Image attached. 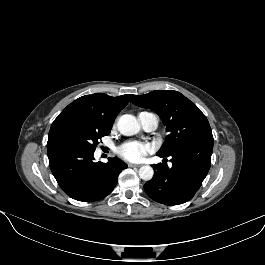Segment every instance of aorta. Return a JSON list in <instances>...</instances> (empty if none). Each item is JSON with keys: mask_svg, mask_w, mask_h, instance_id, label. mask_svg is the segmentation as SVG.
Listing matches in <instances>:
<instances>
[{"mask_svg": "<svg viewBox=\"0 0 265 265\" xmlns=\"http://www.w3.org/2000/svg\"><path fill=\"white\" fill-rule=\"evenodd\" d=\"M119 132L124 136H133L137 134L141 127L137 119L129 114L122 115L117 123ZM139 176L144 181H149L154 175V170L149 165H144L139 168Z\"/></svg>", "mask_w": 265, "mask_h": 265, "instance_id": "aorta-1", "label": "aorta"}]
</instances>
